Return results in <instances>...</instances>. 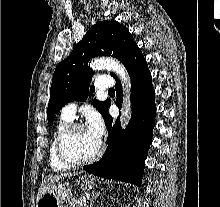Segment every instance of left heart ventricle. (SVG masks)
<instances>
[{
  "label": "left heart ventricle",
  "instance_id": "1",
  "mask_svg": "<svg viewBox=\"0 0 220 207\" xmlns=\"http://www.w3.org/2000/svg\"><path fill=\"white\" fill-rule=\"evenodd\" d=\"M97 140L87 128L74 130L65 140L64 150L66 155L74 161L90 158L98 149Z\"/></svg>",
  "mask_w": 220,
  "mask_h": 207
}]
</instances>
